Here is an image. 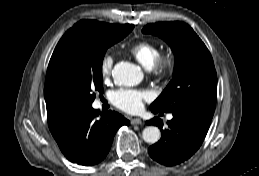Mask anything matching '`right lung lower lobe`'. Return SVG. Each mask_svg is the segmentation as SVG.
I'll return each mask as SVG.
<instances>
[{"label": "right lung lower lobe", "mask_w": 259, "mask_h": 176, "mask_svg": "<svg viewBox=\"0 0 259 176\" xmlns=\"http://www.w3.org/2000/svg\"><path fill=\"white\" fill-rule=\"evenodd\" d=\"M99 112L91 106L71 107L48 121L50 131L62 153L79 165L91 166L108 154L113 137L130 122L114 111Z\"/></svg>", "instance_id": "obj_1"}]
</instances>
